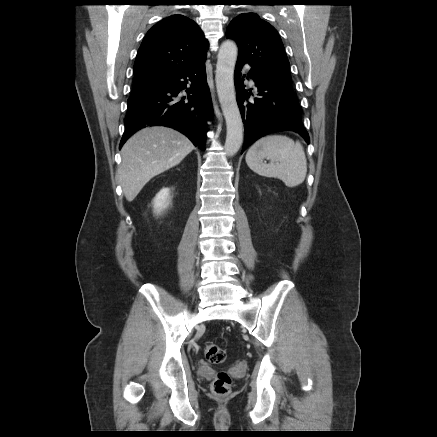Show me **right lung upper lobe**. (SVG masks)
Instances as JSON below:
<instances>
[{"instance_id": "right-lung-upper-lobe-1", "label": "right lung upper lobe", "mask_w": 437, "mask_h": 437, "mask_svg": "<svg viewBox=\"0 0 437 437\" xmlns=\"http://www.w3.org/2000/svg\"><path fill=\"white\" fill-rule=\"evenodd\" d=\"M208 41L197 24L171 15L146 34L136 56L134 81H161L206 58Z\"/></svg>"}]
</instances>
